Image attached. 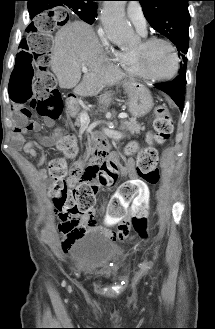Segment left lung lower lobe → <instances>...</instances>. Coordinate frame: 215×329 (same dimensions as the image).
Listing matches in <instances>:
<instances>
[{
  "label": "left lung lower lobe",
  "mask_w": 215,
  "mask_h": 329,
  "mask_svg": "<svg viewBox=\"0 0 215 329\" xmlns=\"http://www.w3.org/2000/svg\"><path fill=\"white\" fill-rule=\"evenodd\" d=\"M185 85L186 66L185 70L182 73H179V75L173 81L163 84H154L155 87L167 93L179 106L180 110L183 108Z\"/></svg>",
  "instance_id": "obj_1"
}]
</instances>
